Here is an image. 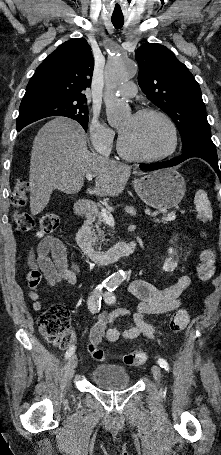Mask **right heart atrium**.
I'll return each mask as SVG.
<instances>
[{
    "label": "right heart atrium",
    "mask_w": 221,
    "mask_h": 455,
    "mask_svg": "<svg viewBox=\"0 0 221 455\" xmlns=\"http://www.w3.org/2000/svg\"><path fill=\"white\" fill-rule=\"evenodd\" d=\"M89 138L96 153L108 155L112 150L115 133L97 117H93L89 124Z\"/></svg>",
    "instance_id": "right-heart-atrium-1"
}]
</instances>
